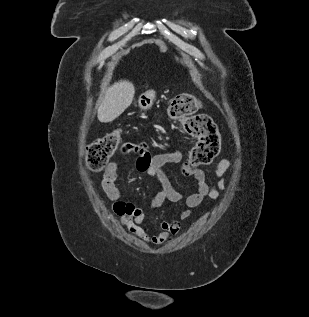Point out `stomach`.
<instances>
[{
    "label": "stomach",
    "instance_id": "0dacf381",
    "mask_svg": "<svg viewBox=\"0 0 309 317\" xmlns=\"http://www.w3.org/2000/svg\"><path fill=\"white\" fill-rule=\"evenodd\" d=\"M154 99V91H147L145 93H142L138 99V106L141 108V110H148L152 107Z\"/></svg>",
    "mask_w": 309,
    "mask_h": 317
}]
</instances>
